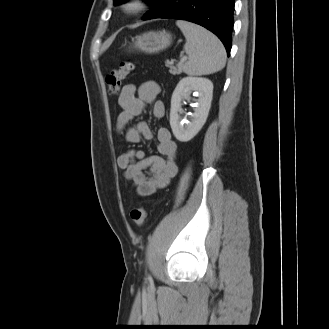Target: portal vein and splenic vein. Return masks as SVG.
Returning a JSON list of instances; mask_svg holds the SVG:
<instances>
[{
	"label": "portal vein and splenic vein",
	"instance_id": "obj_1",
	"mask_svg": "<svg viewBox=\"0 0 329 329\" xmlns=\"http://www.w3.org/2000/svg\"><path fill=\"white\" fill-rule=\"evenodd\" d=\"M186 60H187V57L184 56V57H182V58L180 59V62L183 63V62H185Z\"/></svg>",
	"mask_w": 329,
	"mask_h": 329
}]
</instances>
